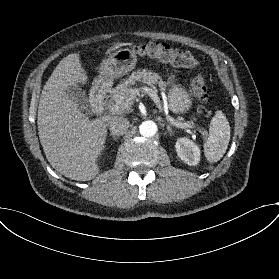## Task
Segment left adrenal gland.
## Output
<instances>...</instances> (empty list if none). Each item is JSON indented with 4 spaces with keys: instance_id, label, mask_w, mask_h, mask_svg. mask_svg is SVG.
Returning <instances> with one entry per match:
<instances>
[{
    "instance_id": "obj_1",
    "label": "left adrenal gland",
    "mask_w": 279,
    "mask_h": 279,
    "mask_svg": "<svg viewBox=\"0 0 279 279\" xmlns=\"http://www.w3.org/2000/svg\"><path fill=\"white\" fill-rule=\"evenodd\" d=\"M170 132H172V129L171 128H167V133H170Z\"/></svg>"
}]
</instances>
